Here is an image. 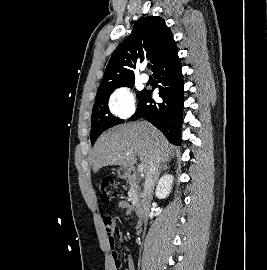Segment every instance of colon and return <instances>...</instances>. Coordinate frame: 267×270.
<instances>
[{
  "label": "colon",
  "instance_id": "5ec220e1",
  "mask_svg": "<svg viewBox=\"0 0 267 270\" xmlns=\"http://www.w3.org/2000/svg\"><path fill=\"white\" fill-rule=\"evenodd\" d=\"M97 189L99 191L100 201L103 204H107L112 200L118 198L121 194V190L115 180L111 177H101L97 181ZM121 261L116 258V269L120 270Z\"/></svg>",
  "mask_w": 267,
  "mask_h": 270
}]
</instances>
